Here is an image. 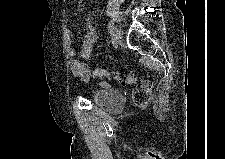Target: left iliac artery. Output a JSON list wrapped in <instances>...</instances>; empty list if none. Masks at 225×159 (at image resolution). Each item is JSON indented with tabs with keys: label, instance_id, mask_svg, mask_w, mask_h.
<instances>
[{
	"label": "left iliac artery",
	"instance_id": "44dca946",
	"mask_svg": "<svg viewBox=\"0 0 225 159\" xmlns=\"http://www.w3.org/2000/svg\"><path fill=\"white\" fill-rule=\"evenodd\" d=\"M114 26L113 25H110L109 26V33L111 34V35H113V32H114ZM113 39V38H112Z\"/></svg>",
	"mask_w": 225,
	"mask_h": 159
}]
</instances>
